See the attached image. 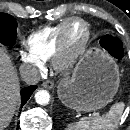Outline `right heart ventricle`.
<instances>
[{"label": "right heart ventricle", "instance_id": "right-heart-ventricle-1", "mask_svg": "<svg viewBox=\"0 0 130 130\" xmlns=\"http://www.w3.org/2000/svg\"><path fill=\"white\" fill-rule=\"evenodd\" d=\"M70 19L56 25L47 26L31 33L24 45L28 53L40 62L51 59L58 47L60 34Z\"/></svg>", "mask_w": 130, "mask_h": 130}]
</instances>
